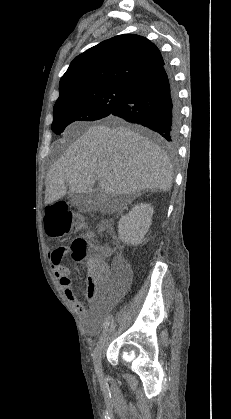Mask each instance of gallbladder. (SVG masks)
Instances as JSON below:
<instances>
[{
	"instance_id": "gallbladder-1",
	"label": "gallbladder",
	"mask_w": 231,
	"mask_h": 419,
	"mask_svg": "<svg viewBox=\"0 0 231 419\" xmlns=\"http://www.w3.org/2000/svg\"><path fill=\"white\" fill-rule=\"evenodd\" d=\"M86 195H71L72 202L77 206H82L83 199H85Z\"/></svg>"
}]
</instances>
